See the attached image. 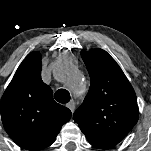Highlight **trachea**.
I'll use <instances>...</instances> for the list:
<instances>
[{"mask_svg": "<svg viewBox=\"0 0 151 151\" xmlns=\"http://www.w3.org/2000/svg\"><path fill=\"white\" fill-rule=\"evenodd\" d=\"M54 98L59 103L65 104L70 101V93L65 89H59L55 92Z\"/></svg>", "mask_w": 151, "mask_h": 151, "instance_id": "1", "label": "trachea"}]
</instances>
